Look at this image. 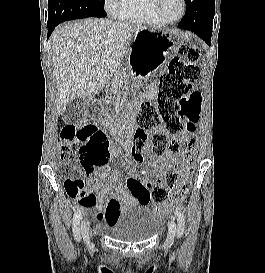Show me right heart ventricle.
Returning <instances> with one entry per match:
<instances>
[{
    "mask_svg": "<svg viewBox=\"0 0 265 273\" xmlns=\"http://www.w3.org/2000/svg\"><path fill=\"white\" fill-rule=\"evenodd\" d=\"M116 16L122 20L153 27L166 25L157 18L153 10V0H123Z\"/></svg>",
    "mask_w": 265,
    "mask_h": 273,
    "instance_id": "obj_1",
    "label": "right heart ventricle"
}]
</instances>
